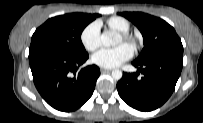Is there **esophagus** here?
Here are the masks:
<instances>
[{
  "label": "esophagus",
  "instance_id": "esophagus-1",
  "mask_svg": "<svg viewBox=\"0 0 203 123\" xmlns=\"http://www.w3.org/2000/svg\"><path fill=\"white\" fill-rule=\"evenodd\" d=\"M110 71H111V69L101 68L102 73H106V72H110Z\"/></svg>",
  "mask_w": 203,
  "mask_h": 123
}]
</instances>
